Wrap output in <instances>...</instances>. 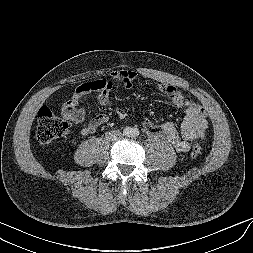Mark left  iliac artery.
I'll return each mask as SVG.
<instances>
[{
    "label": "left iliac artery",
    "mask_w": 253,
    "mask_h": 253,
    "mask_svg": "<svg viewBox=\"0 0 253 253\" xmlns=\"http://www.w3.org/2000/svg\"><path fill=\"white\" fill-rule=\"evenodd\" d=\"M139 134H140V132L138 131V129H133V130H132V133H131V136H132L133 138H136V137L139 136Z\"/></svg>",
    "instance_id": "left-iliac-artery-1"
}]
</instances>
